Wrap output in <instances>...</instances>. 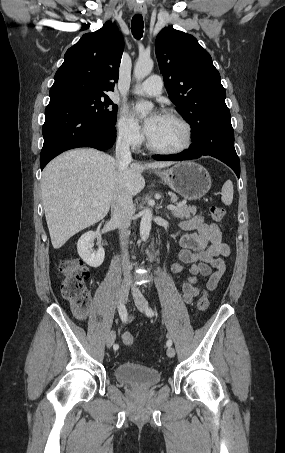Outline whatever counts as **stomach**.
<instances>
[{"instance_id":"0dacf381","label":"stomach","mask_w":285,"mask_h":453,"mask_svg":"<svg viewBox=\"0 0 285 453\" xmlns=\"http://www.w3.org/2000/svg\"><path fill=\"white\" fill-rule=\"evenodd\" d=\"M155 173L174 192L190 201L205 196L212 184L206 168L191 161L179 162L167 170H157Z\"/></svg>"}]
</instances>
